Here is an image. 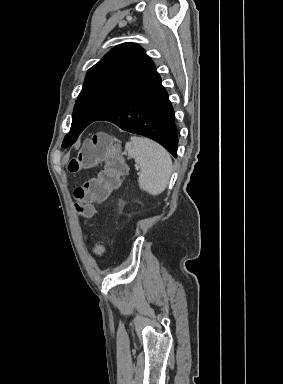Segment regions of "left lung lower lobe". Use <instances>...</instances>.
<instances>
[{
    "mask_svg": "<svg viewBox=\"0 0 283 384\" xmlns=\"http://www.w3.org/2000/svg\"><path fill=\"white\" fill-rule=\"evenodd\" d=\"M98 120H107L123 130L149 137L177 157L174 110L156 71L94 121Z\"/></svg>",
    "mask_w": 283,
    "mask_h": 384,
    "instance_id": "0a47b994",
    "label": "left lung lower lobe"
}]
</instances>
